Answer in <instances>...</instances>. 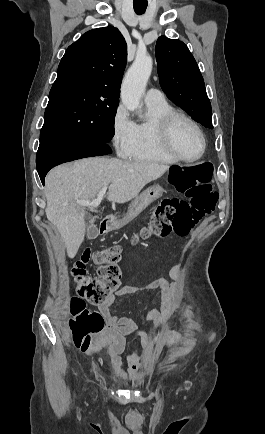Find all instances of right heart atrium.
<instances>
[{
    "instance_id": "obj_1",
    "label": "right heart atrium",
    "mask_w": 265,
    "mask_h": 434,
    "mask_svg": "<svg viewBox=\"0 0 265 434\" xmlns=\"http://www.w3.org/2000/svg\"><path fill=\"white\" fill-rule=\"evenodd\" d=\"M119 115L111 116V141L113 142L118 159H127L128 154L133 153L134 137L132 136L136 125L128 115V106H119Z\"/></svg>"
}]
</instances>
